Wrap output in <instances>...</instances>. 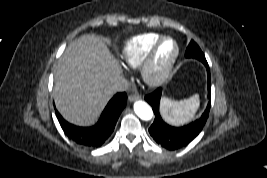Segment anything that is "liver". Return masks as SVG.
<instances>
[{
  "label": "liver",
  "mask_w": 267,
  "mask_h": 178,
  "mask_svg": "<svg viewBox=\"0 0 267 178\" xmlns=\"http://www.w3.org/2000/svg\"><path fill=\"white\" fill-rule=\"evenodd\" d=\"M121 73L99 37L80 36L68 45L56 66L53 96L57 110L75 125L93 124L112 97L108 87Z\"/></svg>",
  "instance_id": "liver-1"
}]
</instances>
